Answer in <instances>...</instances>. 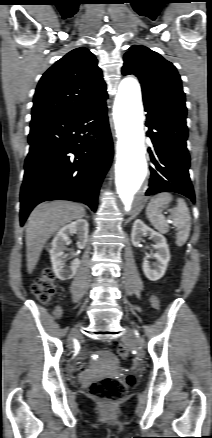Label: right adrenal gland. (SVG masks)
<instances>
[{"label":"right adrenal gland","mask_w":212,"mask_h":438,"mask_svg":"<svg viewBox=\"0 0 212 438\" xmlns=\"http://www.w3.org/2000/svg\"><path fill=\"white\" fill-rule=\"evenodd\" d=\"M86 218L88 219V218H90V217L87 215Z\"/></svg>","instance_id":"right-adrenal-gland-1"}]
</instances>
